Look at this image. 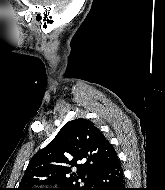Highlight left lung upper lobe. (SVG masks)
<instances>
[{
    "instance_id": "obj_1",
    "label": "left lung upper lobe",
    "mask_w": 165,
    "mask_h": 190,
    "mask_svg": "<svg viewBox=\"0 0 165 190\" xmlns=\"http://www.w3.org/2000/svg\"><path fill=\"white\" fill-rule=\"evenodd\" d=\"M114 156L116 151L91 121H69L32 157L17 190H88L94 175ZM56 183L61 187L34 188Z\"/></svg>"
}]
</instances>
